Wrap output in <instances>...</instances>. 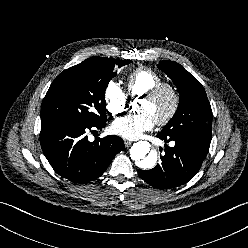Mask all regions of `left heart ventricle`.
<instances>
[{
    "instance_id": "1",
    "label": "left heart ventricle",
    "mask_w": 248,
    "mask_h": 248,
    "mask_svg": "<svg viewBox=\"0 0 248 248\" xmlns=\"http://www.w3.org/2000/svg\"><path fill=\"white\" fill-rule=\"evenodd\" d=\"M171 96L165 91L154 100L142 99L139 106L140 112H147L154 121L162 118L171 106Z\"/></svg>"
}]
</instances>
